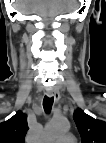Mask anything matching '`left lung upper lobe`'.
I'll return each instance as SVG.
<instances>
[{"instance_id":"left-lung-upper-lobe-1","label":"left lung upper lobe","mask_w":106,"mask_h":143,"mask_svg":"<svg viewBox=\"0 0 106 143\" xmlns=\"http://www.w3.org/2000/svg\"><path fill=\"white\" fill-rule=\"evenodd\" d=\"M73 119L82 143H106V122L94 119L81 109L75 111Z\"/></svg>"}]
</instances>
